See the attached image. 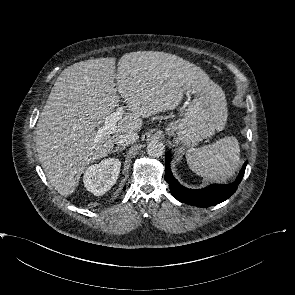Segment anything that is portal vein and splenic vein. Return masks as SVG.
Listing matches in <instances>:
<instances>
[{
  "mask_svg": "<svg viewBox=\"0 0 295 295\" xmlns=\"http://www.w3.org/2000/svg\"><path fill=\"white\" fill-rule=\"evenodd\" d=\"M123 113L124 106L120 105L115 112L105 118L104 125L97 131V136L103 137L112 134L116 130L117 122L121 119Z\"/></svg>",
  "mask_w": 295,
  "mask_h": 295,
  "instance_id": "18ae733b",
  "label": "portal vein and splenic vein"
}]
</instances>
